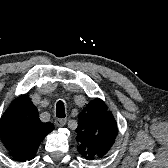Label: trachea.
Returning <instances> with one entry per match:
<instances>
[{
    "instance_id": "1",
    "label": "trachea",
    "mask_w": 168,
    "mask_h": 168,
    "mask_svg": "<svg viewBox=\"0 0 168 168\" xmlns=\"http://www.w3.org/2000/svg\"><path fill=\"white\" fill-rule=\"evenodd\" d=\"M56 116L58 118L65 117L64 103L62 101H58L56 104Z\"/></svg>"
}]
</instances>
